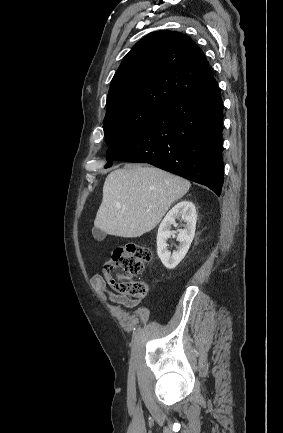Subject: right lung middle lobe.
Segmentation results:
<instances>
[{"instance_id": "1", "label": "right lung middle lobe", "mask_w": 283, "mask_h": 433, "mask_svg": "<svg viewBox=\"0 0 283 433\" xmlns=\"http://www.w3.org/2000/svg\"><path fill=\"white\" fill-rule=\"evenodd\" d=\"M163 108L130 104L106 112L104 133L109 148L107 158H111L127 147L141 129Z\"/></svg>"}]
</instances>
